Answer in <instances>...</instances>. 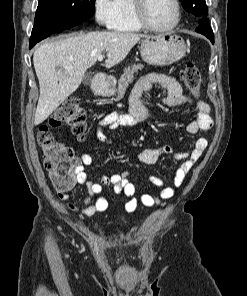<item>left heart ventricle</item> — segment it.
Returning <instances> with one entry per match:
<instances>
[{"label":"left heart ventricle","mask_w":247,"mask_h":296,"mask_svg":"<svg viewBox=\"0 0 247 296\" xmlns=\"http://www.w3.org/2000/svg\"><path fill=\"white\" fill-rule=\"evenodd\" d=\"M175 9L171 0H147L145 15L150 24L165 27L172 23Z\"/></svg>","instance_id":"left-heart-ventricle-1"}]
</instances>
